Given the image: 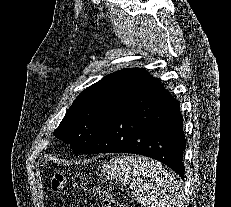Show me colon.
Instances as JSON below:
<instances>
[{"label": "colon", "instance_id": "5ec220e1", "mask_svg": "<svg viewBox=\"0 0 231 207\" xmlns=\"http://www.w3.org/2000/svg\"><path fill=\"white\" fill-rule=\"evenodd\" d=\"M67 183H72L73 186L89 188L93 195L101 200L99 207H119L110 193H108L104 188L95 184L93 181L86 179L73 180L62 174H56L52 178L51 188L54 193L59 194L65 188Z\"/></svg>", "mask_w": 231, "mask_h": 207}]
</instances>
